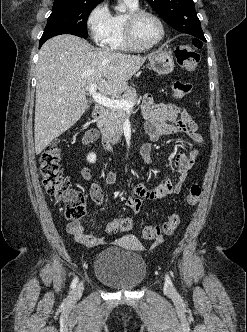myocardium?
I'll use <instances>...</instances> for the list:
<instances>
[{
  "mask_svg": "<svg viewBox=\"0 0 247 332\" xmlns=\"http://www.w3.org/2000/svg\"><path fill=\"white\" fill-rule=\"evenodd\" d=\"M144 15H148L153 17L159 24L161 29V35L157 41H155L152 44L149 45H141L137 42L135 35H134V27L138 19ZM166 35V29L164 22L160 18L159 15H157L155 12L146 10V9H136L133 11H130L126 14L124 19V36L126 39V42L130 47H132L135 50L144 51L152 49L156 46H158L165 38Z\"/></svg>",
  "mask_w": 247,
  "mask_h": 332,
  "instance_id": "1",
  "label": "myocardium"
}]
</instances>
